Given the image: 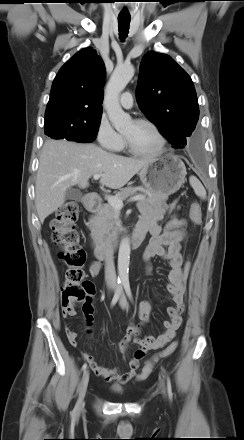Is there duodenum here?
Segmentation results:
<instances>
[{"instance_id":"duodenum-1","label":"duodenum","mask_w":244,"mask_h":440,"mask_svg":"<svg viewBox=\"0 0 244 440\" xmlns=\"http://www.w3.org/2000/svg\"><path fill=\"white\" fill-rule=\"evenodd\" d=\"M85 208L90 212H95L100 208L101 201L96 195L89 194L84 201ZM147 233V229L144 227H136L133 235L130 237L129 242L133 247H138L142 244ZM120 243V239L113 237L105 241H99L94 243V253L98 260L102 261L112 255L114 249Z\"/></svg>"}]
</instances>
